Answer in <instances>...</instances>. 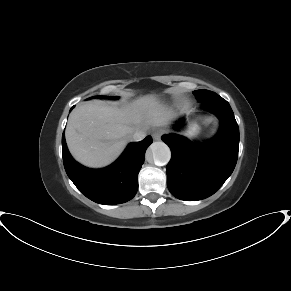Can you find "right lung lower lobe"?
<instances>
[{
    "mask_svg": "<svg viewBox=\"0 0 291 291\" xmlns=\"http://www.w3.org/2000/svg\"><path fill=\"white\" fill-rule=\"evenodd\" d=\"M151 143L150 136L140 142H132L112 165L95 170L80 165L71 157L63 134L64 167L74 185L90 200L103 205L124 203L137 192V176Z\"/></svg>",
    "mask_w": 291,
    "mask_h": 291,
    "instance_id": "right-lung-lower-lobe-1",
    "label": "right lung lower lobe"
}]
</instances>
